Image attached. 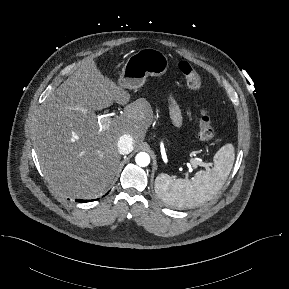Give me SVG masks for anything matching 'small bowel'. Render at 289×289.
<instances>
[{
	"instance_id": "small-bowel-1",
	"label": "small bowel",
	"mask_w": 289,
	"mask_h": 289,
	"mask_svg": "<svg viewBox=\"0 0 289 289\" xmlns=\"http://www.w3.org/2000/svg\"><path fill=\"white\" fill-rule=\"evenodd\" d=\"M169 100H170V105H171V114H172L173 121L176 125H180L181 115H180L179 108L175 100L172 97H170Z\"/></svg>"
}]
</instances>
